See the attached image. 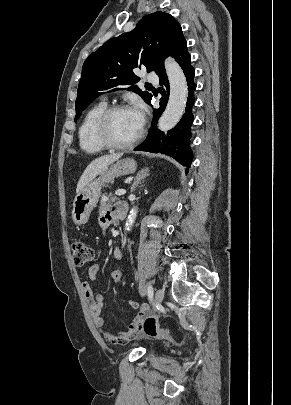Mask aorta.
Listing matches in <instances>:
<instances>
[{
    "instance_id": "obj_1",
    "label": "aorta",
    "mask_w": 291,
    "mask_h": 405,
    "mask_svg": "<svg viewBox=\"0 0 291 405\" xmlns=\"http://www.w3.org/2000/svg\"><path fill=\"white\" fill-rule=\"evenodd\" d=\"M165 69L170 84L169 100L158 122V128L167 132L181 119L187 102L188 87L185 74L179 64L171 57L165 60ZM138 213L137 207L131 209L126 226L131 228Z\"/></svg>"
}]
</instances>
